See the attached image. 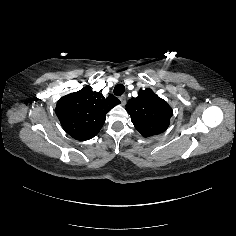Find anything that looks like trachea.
Segmentation results:
<instances>
[{"mask_svg":"<svg viewBox=\"0 0 236 236\" xmlns=\"http://www.w3.org/2000/svg\"><path fill=\"white\" fill-rule=\"evenodd\" d=\"M125 92V86L123 84H118L114 87V94L116 96H121Z\"/></svg>","mask_w":236,"mask_h":236,"instance_id":"1","label":"trachea"}]
</instances>
